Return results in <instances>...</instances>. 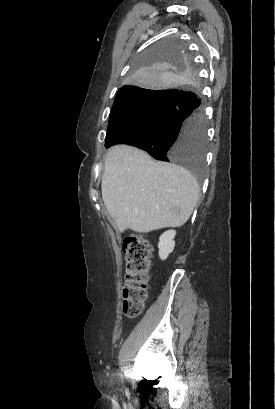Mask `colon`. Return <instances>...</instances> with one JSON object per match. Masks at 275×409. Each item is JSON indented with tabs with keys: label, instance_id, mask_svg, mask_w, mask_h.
Here are the masks:
<instances>
[{
	"label": "colon",
	"instance_id": "1",
	"mask_svg": "<svg viewBox=\"0 0 275 409\" xmlns=\"http://www.w3.org/2000/svg\"><path fill=\"white\" fill-rule=\"evenodd\" d=\"M126 274L122 288V311L128 318L141 315L148 295L152 247L139 234H128L123 240Z\"/></svg>",
	"mask_w": 275,
	"mask_h": 409
}]
</instances>
